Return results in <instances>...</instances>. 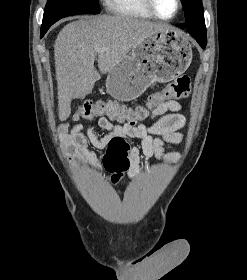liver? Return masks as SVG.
Instances as JSON below:
<instances>
[{
  "label": "liver",
  "instance_id": "6515ba94",
  "mask_svg": "<svg viewBox=\"0 0 247 280\" xmlns=\"http://www.w3.org/2000/svg\"><path fill=\"white\" fill-rule=\"evenodd\" d=\"M169 29L164 23L120 15L82 17L67 24L54 44L59 119L69 117L74 97L84 98L92 92L100 78L94 66L97 56L100 73H109L144 39Z\"/></svg>",
  "mask_w": 247,
  "mask_h": 280
}]
</instances>
